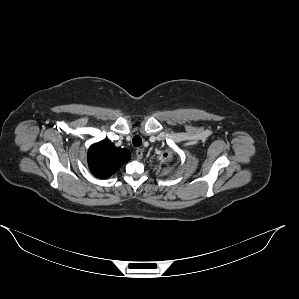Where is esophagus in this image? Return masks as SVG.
Returning <instances> with one entry per match:
<instances>
[{
  "instance_id": "esophagus-1",
  "label": "esophagus",
  "mask_w": 299,
  "mask_h": 299,
  "mask_svg": "<svg viewBox=\"0 0 299 299\" xmlns=\"http://www.w3.org/2000/svg\"><path fill=\"white\" fill-rule=\"evenodd\" d=\"M135 156L138 160H140L143 157V150L138 148L135 152Z\"/></svg>"
}]
</instances>
